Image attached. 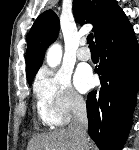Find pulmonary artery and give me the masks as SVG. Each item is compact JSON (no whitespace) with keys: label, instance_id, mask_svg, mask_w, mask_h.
<instances>
[{"label":"pulmonary artery","instance_id":"obj_1","mask_svg":"<svg viewBox=\"0 0 139 150\" xmlns=\"http://www.w3.org/2000/svg\"><path fill=\"white\" fill-rule=\"evenodd\" d=\"M77 58L81 61H87L91 58L90 50L85 46V41H81V47L77 52Z\"/></svg>","mask_w":139,"mask_h":150}]
</instances>
